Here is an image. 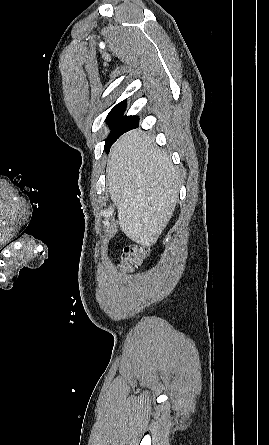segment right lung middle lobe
<instances>
[{
    "mask_svg": "<svg viewBox=\"0 0 269 445\" xmlns=\"http://www.w3.org/2000/svg\"><path fill=\"white\" fill-rule=\"evenodd\" d=\"M126 110V100L117 104L107 115L106 123L109 125L111 132L105 142V150L108 151L110 146L126 131L133 128L139 123L137 116H124Z\"/></svg>",
    "mask_w": 269,
    "mask_h": 445,
    "instance_id": "obj_1",
    "label": "right lung middle lobe"
}]
</instances>
